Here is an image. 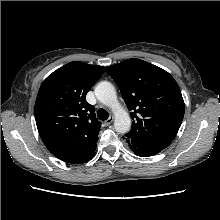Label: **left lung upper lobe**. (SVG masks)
<instances>
[{
	"label": "left lung upper lobe",
	"instance_id": "left-lung-upper-lobe-1",
	"mask_svg": "<svg viewBox=\"0 0 220 220\" xmlns=\"http://www.w3.org/2000/svg\"><path fill=\"white\" fill-rule=\"evenodd\" d=\"M131 111V130L125 134L134 146L163 150L175 138L184 117V100L174 78L140 59L106 67Z\"/></svg>",
	"mask_w": 220,
	"mask_h": 220
}]
</instances>
